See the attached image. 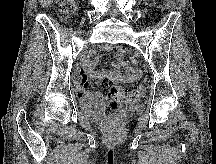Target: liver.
<instances>
[{
    "label": "liver",
    "instance_id": "1",
    "mask_svg": "<svg viewBox=\"0 0 216 164\" xmlns=\"http://www.w3.org/2000/svg\"><path fill=\"white\" fill-rule=\"evenodd\" d=\"M54 0H39L41 6L43 8L48 7L50 4L53 3Z\"/></svg>",
    "mask_w": 216,
    "mask_h": 164
}]
</instances>
